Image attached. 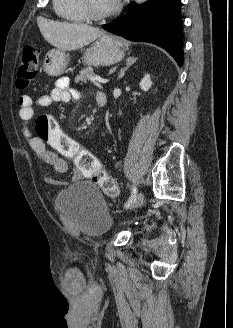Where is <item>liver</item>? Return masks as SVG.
I'll use <instances>...</instances> for the list:
<instances>
[{
	"instance_id": "1",
	"label": "liver",
	"mask_w": 233,
	"mask_h": 328,
	"mask_svg": "<svg viewBox=\"0 0 233 328\" xmlns=\"http://www.w3.org/2000/svg\"><path fill=\"white\" fill-rule=\"evenodd\" d=\"M38 26L44 39L59 50H76L88 45L103 32L86 24H74L38 19Z\"/></svg>"
}]
</instances>
